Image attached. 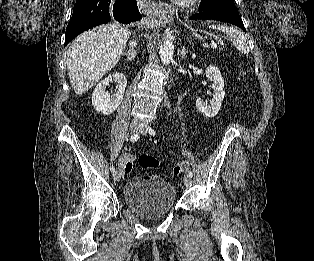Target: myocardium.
<instances>
[{
    "mask_svg": "<svg viewBox=\"0 0 314 261\" xmlns=\"http://www.w3.org/2000/svg\"><path fill=\"white\" fill-rule=\"evenodd\" d=\"M176 3L183 8L195 6L200 0H175Z\"/></svg>",
    "mask_w": 314,
    "mask_h": 261,
    "instance_id": "f54148a6",
    "label": "myocardium"
}]
</instances>
